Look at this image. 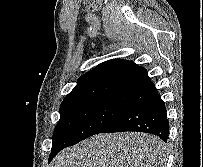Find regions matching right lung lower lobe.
<instances>
[{
  "label": "right lung lower lobe",
  "mask_w": 203,
  "mask_h": 167,
  "mask_svg": "<svg viewBox=\"0 0 203 167\" xmlns=\"http://www.w3.org/2000/svg\"><path fill=\"white\" fill-rule=\"evenodd\" d=\"M124 131L151 133L167 141L169 121L164 102L157 91L137 100L101 133ZM65 147V144L53 142L49 161Z\"/></svg>",
  "instance_id": "98d812e1"
}]
</instances>
